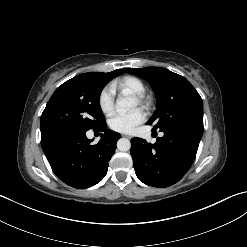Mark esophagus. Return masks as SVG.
<instances>
[{"mask_svg":"<svg viewBox=\"0 0 247 247\" xmlns=\"http://www.w3.org/2000/svg\"><path fill=\"white\" fill-rule=\"evenodd\" d=\"M122 136H123V137H126V138H129V139L131 138L130 135H125V134H124V135H122Z\"/></svg>","mask_w":247,"mask_h":247,"instance_id":"obj_1","label":"esophagus"}]
</instances>
